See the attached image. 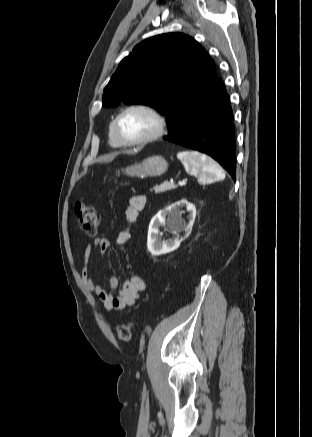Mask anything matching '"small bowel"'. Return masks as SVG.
<instances>
[{"mask_svg":"<svg viewBox=\"0 0 312 437\" xmlns=\"http://www.w3.org/2000/svg\"><path fill=\"white\" fill-rule=\"evenodd\" d=\"M146 205V198L143 195L132 196L129 200L128 206L125 211L126 219L128 222H134L138 214L143 210ZM130 234L128 230H123L117 237V244L124 246L128 241ZM111 247V242L108 238L102 237L94 240L92 244H88L84 253V268L82 271V281L86 288L98 296L101 300L104 308L107 311L123 310L130 306H133L138 299L139 294L145 289L144 280L138 276L133 275L128 278L122 285L121 290L117 295H113L111 290H115L118 286V279L115 276H111L108 279V288L104 285L97 283L89 268L93 253L99 252L105 254Z\"/></svg>","mask_w":312,"mask_h":437,"instance_id":"obj_1","label":"small bowel"}]
</instances>
